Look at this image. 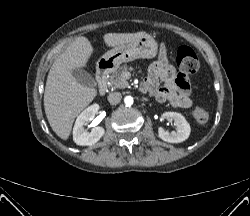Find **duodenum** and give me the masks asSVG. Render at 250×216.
I'll return each instance as SVG.
<instances>
[{
	"instance_id": "obj_1",
	"label": "duodenum",
	"mask_w": 250,
	"mask_h": 216,
	"mask_svg": "<svg viewBox=\"0 0 250 216\" xmlns=\"http://www.w3.org/2000/svg\"><path fill=\"white\" fill-rule=\"evenodd\" d=\"M112 66V63L109 61H101L98 65L96 77L101 94H105L108 89V75Z\"/></svg>"
}]
</instances>
